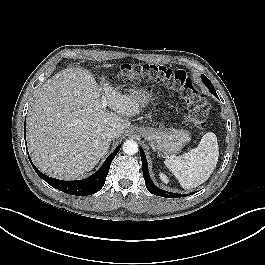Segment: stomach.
<instances>
[{
    "instance_id": "0dacf381",
    "label": "stomach",
    "mask_w": 265,
    "mask_h": 265,
    "mask_svg": "<svg viewBox=\"0 0 265 265\" xmlns=\"http://www.w3.org/2000/svg\"><path fill=\"white\" fill-rule=\"evenodd\" d=\"M140 105H145L151 99V92L146 89L134 91L132 94ZM138 132L147 141L154 144L160 154H175L191 140V134L185 129H156L152 127H139Z\"/></svg>"
}]
</instances>
